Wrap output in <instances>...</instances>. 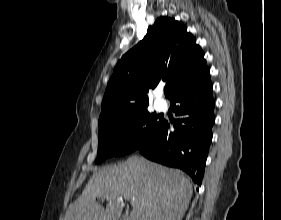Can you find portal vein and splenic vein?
Instances as JSON below:
<instances>
[{"mask_svg": "<svg viewBox=\"0 0 281 220\" xmlns=\"http://www.w3.org/2000/svg\"><path fill=\"white\" fill-rule=\"evenodd\" d=\"M135 200H136V199L133 197V198H132V202L134 203V202H135Z\"/></svg>", "mask_w": 281, "mask_h": 220, "instance_id": "18ae733b", "label": "portal vein and splenic vein"}]
</instances>
